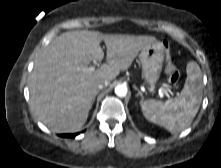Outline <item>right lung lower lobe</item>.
I'll return each mask as SVG.
<instances>
[{
	"instance_id": "98d812e1",
	"label": "right lung lower lobe",
	"mask_w": 221,
	"mask_h": 168,
	"mask_svg": "<svg viewBox=\"0 0 221 168\" xmlns=\"http://www.w3.org/2000/svg\"><path fill=\"white\" fill-rule=\"evenodd\" d=\"M77 134H64L63 137H75Z\"/></svg>"
}]
</instances>
